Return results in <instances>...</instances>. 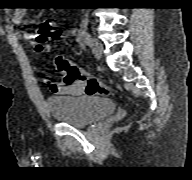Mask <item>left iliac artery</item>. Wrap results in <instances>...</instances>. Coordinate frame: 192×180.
Masks as SVG:
<instances>
[{"label":"left iliac artery","instance_id":"left-iliac-artery-1","mask_svg":"<svg viewBox=\"0 0 192 180\" xmlns=\"http://www.w3.org/2000/svg\"><path fill=\"white\" fill-rule=\"evenodd\" d=\"M81 36H82L83 42H84L86 45H89V44H90V40H91V36H90V34L87 32L86 28H84V29L82 30Z\"/></svg>","mask_w":192,"mask_h":180}]
</instances>
